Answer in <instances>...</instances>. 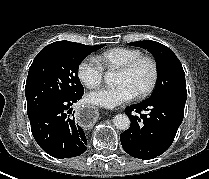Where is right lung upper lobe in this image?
Listing matches in <instances>:
<instances>
[{
  "instance_id": "obj_1",
  "label": "right lung upper lobe",
  "mask_w": 209,
  "mask_h": 179,
  "mask_svg": "<svg viewBox=\"0 0 209 179\" xmlns=\"http://www.w3.org/2000/svg\"><path fill=\"white\" fill-rule=\"evenodd\" d=\"M55 43H71V42H69V41H57Z\"/></svg>"
}]
</instances>
